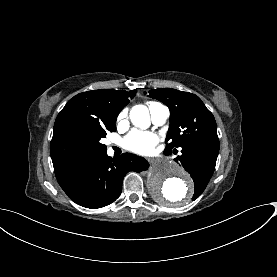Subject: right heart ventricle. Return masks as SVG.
<instances>
[{
  "mask_svg": "<svg viewBox=\"0 0 277 277\" xmlns=\"http://www.w3.org/2000/svg\"><path fill=\"white\" fill-rule=\"evenodd\" d=\"M151 104H152V103H148V104H147V107L149 108V106H150Z\"/></svg>",
  "mask_w": 277,
  "mask_h": 277,
  "instance_id": "obj_1",
  "label": "right heart ventricle"
}]
</instances>
